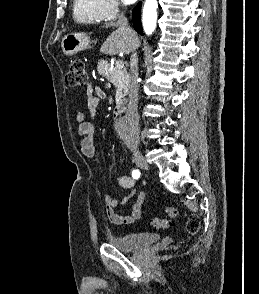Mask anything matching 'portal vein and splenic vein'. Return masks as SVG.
<instances>
[{
    "label": "portal vein and splenic vein",
    "mask_w": 259,
    "mask_h": 294,
    "mask_svg": "<svg viewBox=\"0 0 259 294\" xmlns=\"http://www.w3.org/2000/svg\"><path fill=\"white\" fill-rule=\"evenodd\" d=\"M124 67V63L122 60L116 61V68L122 69Z\"/></svg>",
    "instance_id": "1"
}]
</instances>
